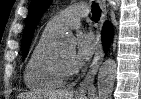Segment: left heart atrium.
<instances>
[{"label":"left heart atrium","mask_w":141,"mask_h":99,"mask_svg":"<svg viewBox=\"0 0 141 99\" xmlns=\"http://www.w3.org/2000/svg\"><path fill=\"white\" fill-rule=\"evenodd\" d=\"M95 39L91 34H80L77 37L76 49L72 55V65L82 66L92 56L95 50Z\"/></svg>","instance_id":"1"}]
</instances>
